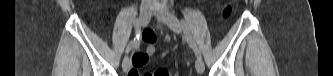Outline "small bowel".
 Masks as SVG:
<instances>
[{
    "label": "small bowel",
    "mask_w": 333,
    "mask_h": 76,
    "mask_svg": "<svg viewBox=\"0 0 333 76\" xmlns=\"http://www.w3.org/2000/svg\"><path fill=\"white\" fill-rule=\"evenodd\" d=\"M142 38L144 42H149V45L147 46L146 51L144 53H137L133 56V63L135 65L134 69L137 72H139L138 68L142 67L146 63L148 56L154 53V45L151 42L158 41V33L143 32Z\"/></svg>",
    "instance_id": "c3829d8e"
}]
</instances>
